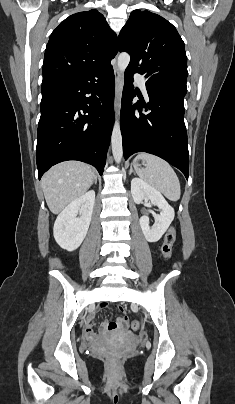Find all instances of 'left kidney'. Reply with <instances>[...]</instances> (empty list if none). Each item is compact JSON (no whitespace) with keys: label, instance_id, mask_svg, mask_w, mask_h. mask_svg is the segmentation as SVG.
Segmentation results:
<instances>
[{"label":"left kidney","instance_id":"left-kidney-1","mask_svg":"<svg viewBox=\"0 0 235 404\" xmlns=\"http://www.w3.org/2000/svg\"><path fill=\"white\" fill-rule=\"evenodd\" d=\"M131 193L135 203L139 204L143 200L149 199L153 205L160 209V214L155 216L156 221L153 228H150L147 216L144 215L139 220L145 239L151 243L157 242L173 221L174 209L157 189L140 178L132 179Z\"/></svg>","mask_w":235,"mask_h":404}]
</instances>
